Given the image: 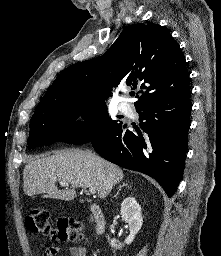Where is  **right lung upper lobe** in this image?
Returning a JSON list of instances; mask_svg holds the SVG:
<instances>
[{"instance_id": "cb5924a9", "label": "right lung upper lobe", "mask_w": 221, "mask_h": 256, "mask_svg": "<svg viewBox=\"0 0 221 256\" xmlns=\"http://www.w3.org/2000/svg\"><path fill=\"white\" fill-rule=\"evenodd\" d=\"M185 64L178 43L164 27L137 23L127 27L102 56L64 69L35 112L59 100L105 103L111 87L120 83L134 89L142 82L136 109L158 98L182 96L190 92Z\"/></svg>"}]
</instances>
